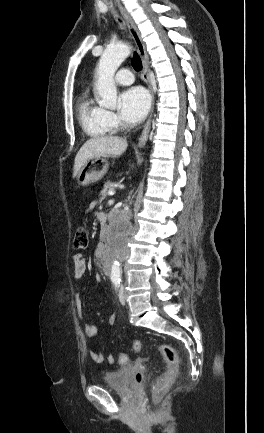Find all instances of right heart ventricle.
Here are the masks:
<instances>
[{"instance_id":"1","label":"right heart ventricle","mask_w":264,"mask_h":433,"mask_svg":"<svg viewBox=\"0 0 264 433\" xmlns=\"http://www.w3.org/2000/svg\"><path fill=\"white\" fill-rule=\"evenodd\" d=\"M78 120L83 131L90 137H104L113 132L107 118V111L88 93L80 96L77 105Z\"/></svg>"}]
</instances>
